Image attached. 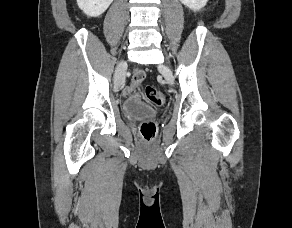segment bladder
I'll return each mask as SVG.
<instances>
[{
  "mask_svg": "<svg viewBox=\"0 0 292 228\" xmlns=\"http://www.w3.org/2000/svg\"><path fill=\"white\" fill-rule=\"evenodd\" d=\"M124 112L133 118H148L155 115V110L139 101L129 100L124 104Z\"/></svg>",
  "mask_w": 292,
  "mask_h": 228,
  "instance_id": "1",
  "label": "bladder"
}]
</instances>
